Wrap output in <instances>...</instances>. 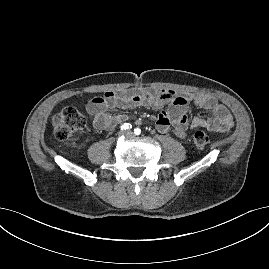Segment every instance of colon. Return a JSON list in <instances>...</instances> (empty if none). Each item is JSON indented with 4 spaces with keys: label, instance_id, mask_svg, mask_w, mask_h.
I'll return each mask as SVG.
<instances>
[{
    "label": "colon",
    "instance_id": "colon-1",
    "mask_svg": "<svg viewBox=\"0 0 269 269\" xmlns=\"http://www.w3.org/2000/svg\"><path fill=\"white\" fill-rule=\"evenodd\" d=\"M86 125L87 118L74 107H66L53 117L54 135L60 141L70 139ZM193 142L198 149L203 150L210 145V138L205 132L196 131Z\"/></svg>",
    "mask_w": 269,
    "mask_h": 269
}]
</instances>
